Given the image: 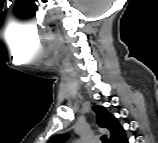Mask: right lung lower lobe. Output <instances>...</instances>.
<instances>
[{
  "instance_id": "right-lung-lower-lobe-1",
  "label": "right lung lower lobe",
  "mask_w": 158,
  "mask_h": 143,
  "mask_svg": "<svg viewBox=\"0 0 158 143\" xmlns=\"http://www.w3.org/2000/svg\"><path fill=\"white\" fill-rule=\"evenodd\" d=\"M120 143H128L127 139H124L123 141H121Z\"/></svg>"
}]
</instances>
